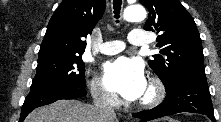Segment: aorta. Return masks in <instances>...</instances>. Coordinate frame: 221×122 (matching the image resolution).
<instances>
[{"label":"aorta","mask_w":221,"mask_h":122,"mask_svg":"<svg viewBox=\"0 0 221 122\" xmlns=\"http://www.w3.org/2000/svg\"><path fill=\"white\" fill-rule=\"evenodd\" d=\"M123 18L128 22L142 21L146 18V10L139 4L128 6L124 10Z\"/></svg>","instance_id":"aorta-1"}]
</instances>
